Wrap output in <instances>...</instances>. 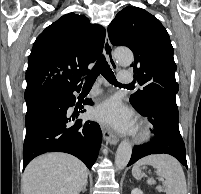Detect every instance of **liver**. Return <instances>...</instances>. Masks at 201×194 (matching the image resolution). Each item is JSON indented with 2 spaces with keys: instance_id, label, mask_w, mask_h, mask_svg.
<instances>
[{
  "instance_id": "6515ba94",
  "label": "liver",
  "mask_w": 201,
  "mask_h": 194,
  "mask_svg": "<svg viewBox=\"0 0 201 194\" xmlns=\"http://www.w3.org/2000/svg\"><path fill=\"white\" fill-rule=\"evenodd\" d=\"M87 167L66 153H47L33 159L22 176L23 194H79L87 185Z\"/></svg>"
}]
</instances>
